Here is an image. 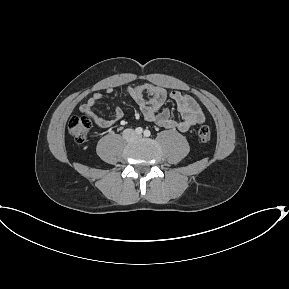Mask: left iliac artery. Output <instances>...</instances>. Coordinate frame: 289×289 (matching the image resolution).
I'll list each match as a JSON object with an SVG mask.
<instances>
[{
  "mask_svg": "<svg viewBox=\"0 0 289 289\" xmlns=\"http://www.w3.org/2000/svg\"><path fill=\"white\" fill-rule=\"evenodd\" d=\"M151 135V132L149 130L144 131V136L149 137Z\"/></svg>",
  "mask_w": 289,
  "mask_h": 289,
  "instance_id": "1",
  "label": "left iliac artery"
}]
</instances>
